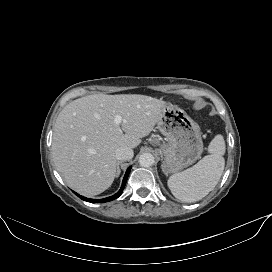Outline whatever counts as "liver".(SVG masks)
<instances>
[{"instance_id": "6515ba94", "label": "liver", "mask_w": 272, "mask_h": 272, "mask_svg": "<svg viewBox=\"0 0 272 272\" xmlns=\"http://www.w3.org/2000/svg\"><path fill=\"white\" fill-rule=\"evenodd\" d=\"M166 105L139 94H93L66 105L52 138L53 161L65 183L89 197L108 189L117 172L116 149L137 147ZM117 115L120 124L115 123Z\"/></svg>"}]
</instances>
